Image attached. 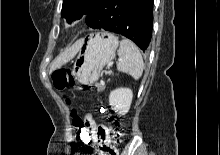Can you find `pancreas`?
<instances>
[{"instance_id": "cf45deb5", "label": "pancreas", "mask_w": 220, "mask_h": 155, "mask_svg": "<svg viewBox=\"0 0 220 155\" xmlns=\"http://www.w3.org/2000/svg\"><path fill=\"white\" fill-rule=\"evenodd\" d=\"M97 90L98 92H101L104 90V86L103 85H97Z\"/></svg>"}]
</instances>
